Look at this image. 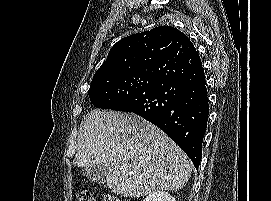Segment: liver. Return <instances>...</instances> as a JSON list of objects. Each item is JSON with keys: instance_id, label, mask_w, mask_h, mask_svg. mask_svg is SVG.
<instances>
[{"instance_id": "liver-1", "label": "liver", "mask_w": 271, "mask_h": 201, "mask_svg": "<svg viewBox=\"0 0 271 201\" xmlns=\"http://www.w3.org/2000/svg\"><path fill=\"white\" fill-rule=\"evenodd\" d=\"M75 166L104 163L116 195L142 197L182 189L191 161L161 129L136 114L93 110L83 119Z\"/></svg>"}]
</instances>
